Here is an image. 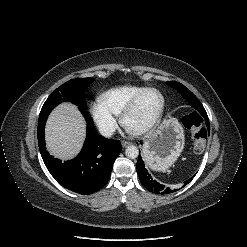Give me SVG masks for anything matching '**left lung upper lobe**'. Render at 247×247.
<instances>
[{
  "label": "left lung upper lobe",
  "mask_w": 247,
  "mask_h": 247,
  "mask_svg": "<svg viewBox=\"0 0 247 247\" xmlns=\"http://www.w3.org/2000/svg\"><path fill=\"white\" fill-rule=\"evenodd\" d=\"M167 84L175 89H178V91L181 93L183 97L186 98L188 103L195 109L197 110L204 118L207 117V113L201 104V102L198 100V98L189 90L187 89L184 85L181 83H177L174 81L167 82Z\"/></svg>",
  "instance_id": "5c2ea615"
}]
</instances>
